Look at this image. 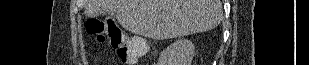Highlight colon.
Here are the masks:
<instances>
[{"instance_id":"colon-1","label":"colon","mask_w":309,"mask_h":65,"mask_svg":"<svg viewBox=\"0 0 309 65\" xmlns=\"http://www.w3.org/2000/svg\"><path fill=\"white\" fill-rule=\"evenodd\" d=\"M86 32L98 42H108L116 50L124 64H134L147 51V46L139 38L128 37L111 19L91 18L85 22Z\"/></svg>"}]
</instances>
